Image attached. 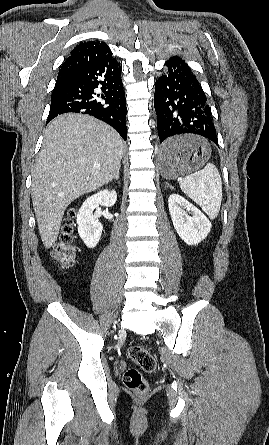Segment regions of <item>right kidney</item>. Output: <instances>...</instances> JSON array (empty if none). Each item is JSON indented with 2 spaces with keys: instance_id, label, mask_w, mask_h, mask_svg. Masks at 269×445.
Wrapping results in <instances>:
<instances>
[{
  "instance_id": "right-kidney-1",
  "label": "right kidney",
  "mask_w": 269,
  "mask_h": 445,
  "mask_svg": "<svg viewBox=\"0 0 269 445\" xmlns=\"http://www.w3.org/2000/svg\"><path fill=\"white\" fill-rule=\"evenodd\" d=\"M116 200V191L105 189L87 198L81 206L77 214L78 233L88 248L96 247L103 229L102 224L93 215L94 209L99 205L111 207Z\"/></svg>"
}]
</instances>
